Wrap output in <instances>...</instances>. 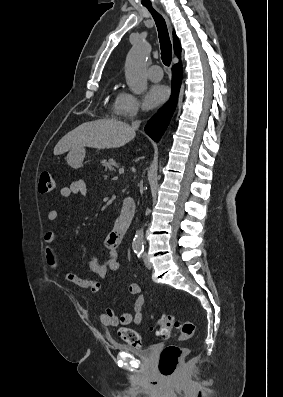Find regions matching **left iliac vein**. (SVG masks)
<instances>
[{
    "label": "left iliac vein",
    "mask_w": 283,
    "mask_h": 397,
    "mask_svg": "<svg viewBox=\"0 0 283 397\" xmlns=\"http://www.w3.org/2000/svg\"><path fill=\"white\" fill-rule=\"evenodd\" d=\"M144 264H145L147 269H151L152 268V264L150 263L149 258L147 257V255L144 256Z\"/></svg>",
    "instance_id": "left-iliac-vein-1"
}]
</instances>
